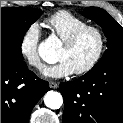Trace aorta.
Wrapping results in <instances>:
<instances>
[{
  "label": "aorta",
  "mask_w": 123,
  "mask_h": 123,
  "mask_svg": "<svg viewBox=\"0 0 123 123\" xmlns=\"http://www.w3.org/2000/svg\"><path fill=\"white\" fill-rule=\"evenodd\" d=\"M39 56L46 62L56 58V43L52 37L42 41L38 46ZM44 103L50 109H59L63 104V97L60 93L49 91L44 96Z\"/></svg>",
  "instance_id": "762f6f07"
}]
</instances>
